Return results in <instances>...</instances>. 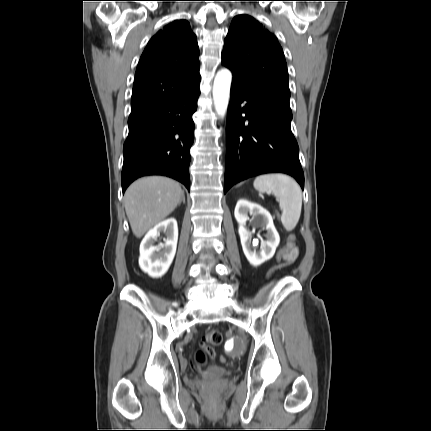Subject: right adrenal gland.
<instances>
[{"label":"right adrenal gland","mask_w":431,"mask_h":431,"mask_svg":"<svg viewBox=\"0 0 431 431\" xmlns=\"http://www.w3.org/2000/svg\"><path fill=\"white\" fill-rule=\"evenodd\" d=\"M181 202H183V203L185 204V196H184V193L182 194V198H181L180 203H181Z\"/></svg>","instance_id":"obj_1"}]
</instances>
